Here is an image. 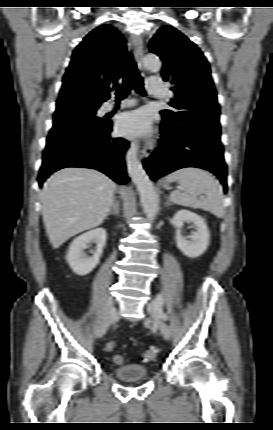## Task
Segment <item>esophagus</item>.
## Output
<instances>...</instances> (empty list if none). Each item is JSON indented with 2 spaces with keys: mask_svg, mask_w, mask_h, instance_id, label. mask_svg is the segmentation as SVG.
Wrapping results in <instances>:
<instances>
[{
  "mask_svg": "<svg viewBox=\"0 0 273 430\" xmlns=\"http://www.w3.org/2000/svg\"><path fill=\"white\" fill-rule=\"evenodd\" d=\"M131 42L135 49V55L138 62V68L142 76L147 75V70L143 65V57H144V44L143 40L139 35L131 34L130 35ZM153 151V143L151 140H147L142 149L141 158L148 159Z\"/></svg>",
  "mask_w": 273,
  "mask_h": 430,
  "instance_id": "obj_1",
  "label": "esophagus"
}]
</instances>
